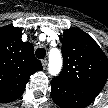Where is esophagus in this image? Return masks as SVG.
<instances>
[{
    "label": "esophagus",
    "mask_w": 108,
    "mask_h": 108,
    "mask_svg": "<svg viewBox=\"0 0 108 108\" xmlns=\"http://www.w3.org/2000/svg\"><path fill=\"white\" fill-rule=\"evenodd\" d=\"M41 63H42L43 68L45 69L47 66V60L43 59V60H41Z\"/></svg>",
    "instance_id": "1"
}]
</instances>
